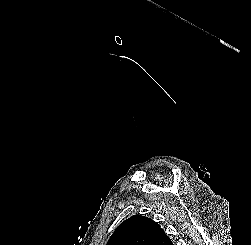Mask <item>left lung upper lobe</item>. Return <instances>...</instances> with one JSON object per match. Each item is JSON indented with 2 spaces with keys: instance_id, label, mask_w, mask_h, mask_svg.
I'll use <instances>...</instances> for the list:
<instances>
[{
  "instance_id": "obj_1",
  "label": "left lung upper lobe",
  "mask_w": 251,
  "mask_h": 245,
  "mask_svg": "<svg viewBox=\"0 0 251 245\" xmlns=\"http://www.w3.org/2000/svg\"><path fill=\"white\" fill-rule=\"evenodd\" d=\"M106 245H173L164 230L153 220L135 215L122 222Z\"/></svg>"
}]
</instances>
